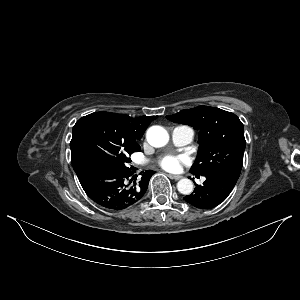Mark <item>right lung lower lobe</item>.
<instances>
[{
  "label": "right lung lower lobe",
  "mask_w": 300,
  "mask_h": 300,
  "mask_svg": "<svg viewBox=\"0 0 300 300\" xmlns=\"http://www.w3.org/2000/svg\"><path fill=\"white\" fill-rule=\"evenodd\" d=\"M76 174L90 199L107 209L122 210L144 196L154 171H142L137 179L132 168L124 169L110 162H98Z\"/></svg>",
  "instance_id": "1"
}]
</instances>
